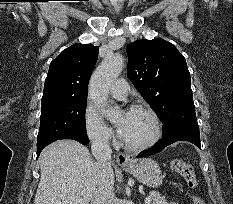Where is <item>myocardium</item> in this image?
<instances>
[{"mask_svg": "<svg viewBox=\"0 0 233 204\" xmlns=\"http://www.w3.org/2000/svg\"><path fill=\"white\" fill-rule=\"evenodd\" d=\"M127 112H143L148 114L153 122L154 132L147 142L138 145L130 144L121 137L124 147L132 152H142L155 146L162 136V124L158 114L152 108L144 105H134Z\"/></svg>", "mask_w": 233, "mask_h": 204, "instance_id": "1", "label": "myocardium"}]
</instances>
